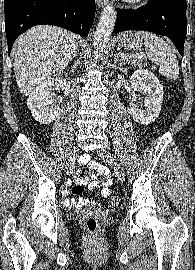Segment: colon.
Masks as SVG:
<instances>
[{
    "label": "colon",
    "instance_id": "colon-1",
    "mask_svg": "<svg viewBox=\"0 0 195 270\" xmlns=\"http://www.w3.org/2000/svg\"><path fill=\"white\" fill-rule=\"evenodd\" d=\"M112 205H117L119 203V198L118 197H113L110 201ZM86 227L89 233L95 234L97 233L99 229V223L98 220L94 216H89L86 219Z\"/></svg>",
    "mask_w": 195,
    "mask_h": 270
}]
</instances>
